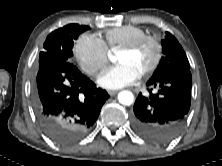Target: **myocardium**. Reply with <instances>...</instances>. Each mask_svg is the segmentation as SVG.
Wrapping results in <instances>:
<instances>
[{"instance_id":"1","label":"myocardium","mask_w":222,"mask_h":166,"mask_svg":"<svg viewBox=\"0 0 222 166\" xmlns=\"http://www.w3.org/2000/svg\"><path fill=\"white\" fill-rule=\"evenodd\" d=\"M146 42H150L154 46L155 53L151 65L140 74L141 76H148L152 74L160 64L162 58V46L158 38L152 35H143L141 37L136 38L129 44L119 48V50L122 52H133L136 51L141 45Z\"/></svg>"}]
</instances>
